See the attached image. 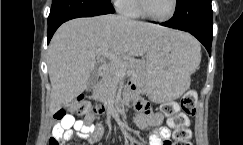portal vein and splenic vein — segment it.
Returning <instances> with one entry per match:
<instances>
[{
    "instance_id": "18ae733b",
    "label": "portal vein and splenic vein",
    "mask_w": 243,
    "mask_h": 145,
    "mask_svg": "<svg viewBox=\"0 0 243 145\" xmlns=\"http://www.w3.org/2000/svg\"><path fill=\"white\" fill-rule=\"evenodd\" d=\"M97 55H102L104 57H107L109 60L114 62L116 65H118L119 69L122 73L126 71V67L123 64L122 60L113 52L109 51L108 48L99 49L96 52Z\"/></svg>"
}]
</instances>
